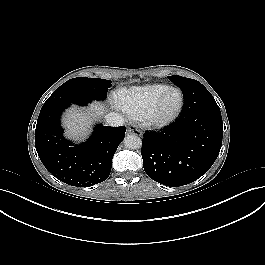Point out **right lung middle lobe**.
Wrapping results in <instances>:
<instances>
[{
  "instance_id": "1",
  "label": "right lung middle lobe",
  "mask_w": 265,
  "mask_h": 265,
  "mask_svg": "<svg viewBox=\"0 0 265 265\" xmlns=\"http://www.w3.org/2000/svg\"><path fill=\"white\" fill-rule=\"evenodd\" d=\"M111 81L99 78L77 77L57 88L44 106L58 103L86 105L91 99L104 100Z\"/></svg>"
}]
</instances>
